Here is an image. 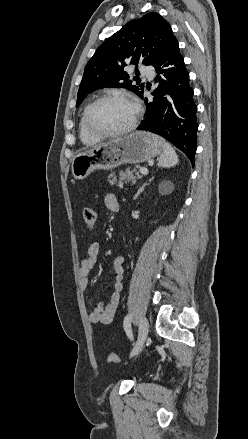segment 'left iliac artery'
Listing matches in <instances>:
<instances>
[{"label":"left iliac artery","mask_w":248,"mask_h":439,"mask_svg":"<svg viewBox=\"0 0 248 439\" xmlns=\"http://www.w3.org/2000/svg\"><path fill=\"white\" fill-rule=\"evenodd\" d=\"M131 321H132V316L128 314L124 318V322H123L124 330L130 339H132Z\"/></svg>","instance_id":"1"}]
</instances>
